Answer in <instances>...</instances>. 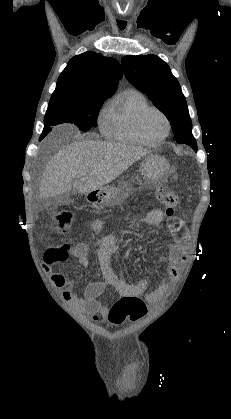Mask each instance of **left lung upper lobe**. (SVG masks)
I'll return each mask as SVG.
<instances>
[{"label":"left lung upper lobe","instance_id":"obj_1","mask_svg":"<svg viewBox=\"0 0 231 419\" xmlns=\"http://www.w3.org/2000/svg\"><path fill=\"white\" fill-rule=\"evenodd\" d=\"M121 63L128 81L165 114L172 125L174 140L197 151L185 96L167 63L155 55L125 56Z\"/></svg>","mask_w":231,"mask_h":419}]
</instances>
